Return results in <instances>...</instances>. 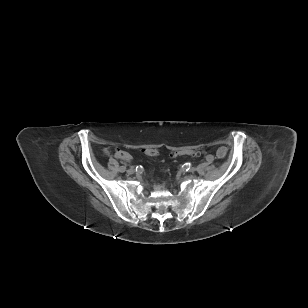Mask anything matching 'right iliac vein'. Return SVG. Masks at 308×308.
Listing matches in <instances>:
<instances>
[{
  "instance_id": "63e3f726",
  "label": "right iliac vein",
  "mask_w": 308,
  "mask_h": 308,
  "mask_svg": "<svg viewBox=\"0 0 308 308\" xmlns=\"http://www.w3.org/2000/svg\"><path fill=\"white\" fill-rule=\"evenodd\" d=\"M127 173H128V174H133V173H134V169H128V170H127Z\"/></svg>"
}]
</instances>
